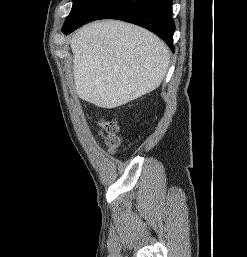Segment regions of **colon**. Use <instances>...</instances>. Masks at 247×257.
<instances>
[{"label": "colon", "mask_w": 247, "mask_h": 257, "mask_svg": "<svg viewBox=\"0 0 247 257\" xmlns=\"http://www.w3.org/2000/svg\"><path fill=\"white\" fill-rule=\"evenodd\" d=\"M101 135L104 138L105 144L110 151L115 152L119 147V139L117 137L118 124L115 120H101L99 122Z\"/></svg>", "instance_id": "obj_1"}]
</instances>
